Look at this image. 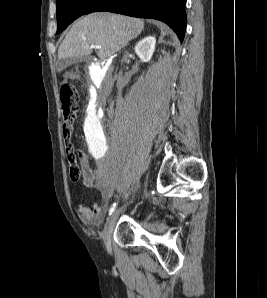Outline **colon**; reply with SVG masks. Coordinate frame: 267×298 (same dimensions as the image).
<instances>
[{"instance_id": "colon-1", "label": "colon", "mask_w": 267, "mask_h": 298, "mask_svg": "<svg viewBox=\"0 0 267 298\" xmlns=\"http://www.w3.org/2000/svg\"><path fill=\"white\" fill-rule=\"evenodd\" d=\"M60 98L64 115L63 135L66 158L69 166V177L72 181L77 182L81 178L82 169L77 161L72 143L70 142V128L78 107L77 92L72 85L65 84L61 88Z\"/></svg>"}]
</instances>
